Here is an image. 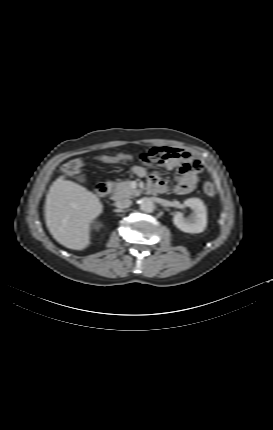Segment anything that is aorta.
Listing matches in <instances>:
<instances>
[{"label": "aorta", "instance_id": "aorta-1", "mask_svg": "<svg viewBox=\"0 0 273 430\" xmlns=\"http://www.w3.org/2000/svg\"><path fill=\"white\" fill-rule=\"evenodd\" d=\"M140 209L146 213H152L155 209L153 201L149 198L140 199Z\"/></svg>", "mask_w": 273, "mask_h": 430}]
</instances>
